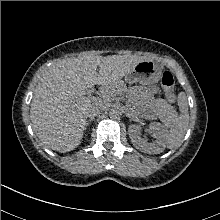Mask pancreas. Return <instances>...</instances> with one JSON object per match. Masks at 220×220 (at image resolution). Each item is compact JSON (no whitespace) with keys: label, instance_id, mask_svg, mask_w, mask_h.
<instances>
[{"label":"pancreas","instance_id":"pancreas-1","mask_svg":"<svg viewBox=\"0 0 220 220\" xmlns=\"http://www.w3.org/2000/svg\"><path fill=\"white\" fill-rule=\"evenodd\" d=\"M115 92L109 91L105 93L102 98L104 102H107L110 100V98L114 95ZM155 108L157 110V113L159 114L160 118L165 121L169 122L172 117H174L175 112L173 109V106L167 103V101L160 99L156 101Z\"/></svg>","mask_w":220,"mask_h":220}]
</instances>
